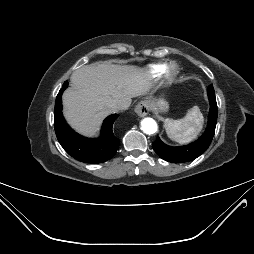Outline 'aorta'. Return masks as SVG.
<instances>
[{"instance_id":"762f6f07","label":"aorta","mask_w":254,"mask_h":254,"mask_svg":"<svg viewBox=\"0 0 254 254\" xmlns=\"http://www.w3.org/2000/svg\"><path fill=\"white\" fill-rule=\"evenodd\" d=\"M141 129L146 134H154L157 132V123L152 118H145L141 122Z\"/></svg>"}]
</instances>
